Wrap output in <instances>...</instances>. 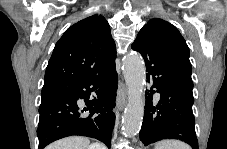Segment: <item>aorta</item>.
Wrapping results in <instances>:
<instances>
[{"label":"aorta","mask_w":227,"mask_h":149,"mask_svg":"<svg viewBox=\"0 0 227 149\" xmlns=\"http://www.w3.org/2000/svg\"><path fill=\"white\" fill-rule=\"evenodd\" d=\"M145 74L142 57L137 53L127 54L123 60V75L128 88V104L122 119V129L126 136L136 135L141 128L145 105Z\"/></svg>","instance_id":"762f6f07"}]
</instances>
